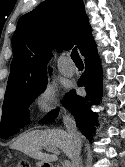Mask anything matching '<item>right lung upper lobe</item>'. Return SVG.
Returning a JSON list of instances; mask_svg holds the SVG:
<instances>
[{
  "mask_svg": "<svg viewBox=\"0 0 125 167\" xmlns=\"http://www.w3.org/2000/svg\"><path fill=\"white\" fill-rule=\"evenodd\" d=\"M91 37L82 0H46L23 15L12 37L13 60L5 99L47 82L46 67L53 48L61 52L76 44L81 52Z\"/></svg>",
  "mask_w": 125,
  "mask_h": 167,
  "instance_id": "cb5924a9",
  "label": "right lung upper lobe"
}]
</instances>
